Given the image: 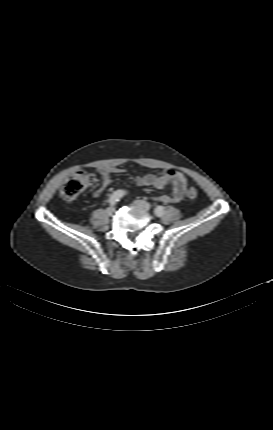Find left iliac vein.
<instances>
[{
    "instance_id": "left-iliac-vein-1",
    "label": "left iliac vein",
    "mask_w": 273,
    "mask_h": 430,
    "mask_svg": "<svg viewBox=\"0 0 273 430\" xmlns=\"http://www.w3.org/2000/svg\"><path fill=\"white\" fill-rule=\"evenodd\" d=\"M134 204H135L136 206H138V207H140V208H142V209L146 210V211H149V210H150V204H149V203H147L146 201H143V200H135V201H134Z\"/></svg>"
}]
</instances>
